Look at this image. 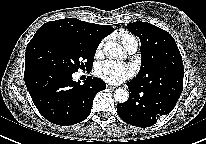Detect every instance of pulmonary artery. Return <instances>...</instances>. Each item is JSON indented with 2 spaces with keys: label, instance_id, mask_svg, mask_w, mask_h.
<instances>
[{
  "label": "pulmonary artery",
  "instance_id": "pulmonary-artery-1",
  "mask_svg": "<svg viewBox=\"0 0 206 144\" xmlns=\"http://www.w3.org/2000/svg\"><path fill=\"white\" fill-rule=\"evenodd\" d=\"M137 46L138 45L136 43H134V44L130 45L128 48H126V50L131 54L135 53L137 50Z\"/></svg>",
  "mask_w": 206,
  "mask_h": 144
}]
</instances>
